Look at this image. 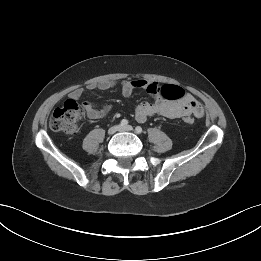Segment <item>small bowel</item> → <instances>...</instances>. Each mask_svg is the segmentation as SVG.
<instances>
[{"label":"small bowel","mask_w":261,"mask_h":261,"mask_svg":"<svg viewBox=\"0 0 261 261\" xmlns=\"http://www.w3.org/2000/svg\"><path fill=\"white\" fill-rule=\"evenodd\" d=\"M117 85L120 86L122 94L129 97L135 89H144L154 97L152 103L141 102L135 109V119L139 123H144L153 115H160L169 119L184 118L185 116L201 117L203 108L201 104L189 93H186L181 100L170 101L163 97L162 87L154 81L146 79L124 80H104L99 83H90L86 88H77L69 94V99L77 101L85 90H109ZM83 109L88 118L101 119L108 115L111 110L110 104L100 107L90 102L83 103Z\"/></svg>","instance_id":"c3829d8e"}]
</instances>
